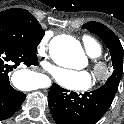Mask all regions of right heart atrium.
Returning a JSON list of instances; mask_svg holds the SVG:
<instances>
[{
  "mask_svg": "<svg viewBox=\"0 0 124 124\" xmlns=\"http://www.w3.org/2000/svg\"><path fill=\"white\" fill-rule=\"evenodd\" d=\"M49 40H50V34L47 33L42 37L39 43V46H38L39 53L43 56H45L47 53Z\"/></svg>",
  "mask_w": 124,
  "mask_h": 124,
  "instance_id": "obj_1",
  "label": "right heart atrium"
}]
</instances>
